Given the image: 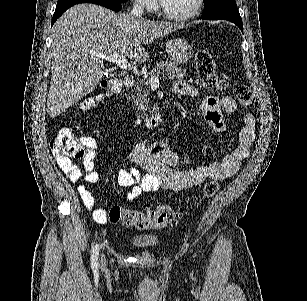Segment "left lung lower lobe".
Wrapping results in <instances>:
<instances>
[{"mask_svg":"<svg viewBox=\"0 0 307 301\" xmlns=\"http://www.w3.org/2000/svg\"><path fill=\"white\" fill-rule=\"evenodd\" d=\"M228 21H231V20H228ZM233 22L234 24H236L240 30L243 32V24H242V20H234V21H231Z\"/></svg>","mask_w":307,"mask_h":301,"instance_id":"0a47b994","label":"left lung lower lobe"}]
</instances>
